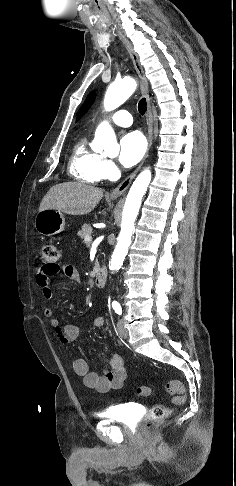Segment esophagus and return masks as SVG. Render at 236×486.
<instances>
[{"mask_svg":"<svg viewBox=\"0 0 236 486\" xmlns=\"http://www.w3.org/2000/svg\"><path fill=\"white\" fill-rule=\"evenodd\" d=\"M117 33H118L120 39L122 40V42L124 43V45L126 46L128 52L130 54V57L133 61L135 70H136V72L139 76V79H140L141 93L146 98V101H147L146 116H147V126H148V134H147L148 149H147L146 155H145L143 161L141 162V164L128 177H126L115 189H113L110 192V196L113 197V198L119 197L123 193H125V191L129 188L131 182L133 181V179L135 178V176L137 175V173L141 169L143 162L147 158L149 150H150L152 142H153V122H154L152 107H151V100H150L149 92H148V81H147V78H146V75H145L144 68H143L142 64L140 63L139 57H138L137 53L134 51L131 43L127 40V38L121 32L117 31Z\"/></svg>","mask_w":236,"mask_h":486,"instance_id":"1","label":"esophagus"}]
</instances>
